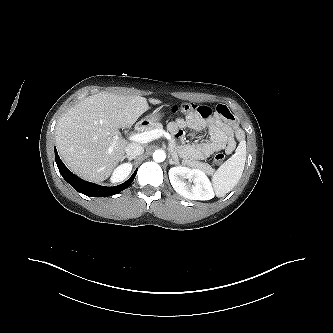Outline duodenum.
<instances>
[{
	"instance_id": "duodenum-1",
	"label": "duodenum",
	"mask_w": 333,
	"mask_h": 333,
	"mask_svg": "<svg viewBox=\"0 0 333 333\" xmlns=\"http://www.w3.org/2000/svg\"><path fill=\"white\" fill-rule=\"evenodd\" d=\"M147 126V122L141 121L136 124L135 128L137 131H142Z\"/></svg>"
}]
</instances>
